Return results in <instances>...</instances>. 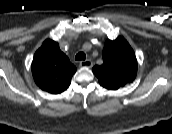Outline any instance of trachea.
<instances>
[{"label": "trachea", "mask_w": 172, "mask_h": 134, "mask_svg": "<svg viewBox=\"0 0 172 134\" xmlns=\"http://www.w3.org/2000/svg\"><path fill=\"white\" fill-rule=\"evenodd\" d=\"M86 59V54L84 52H79L76 56H75V60H85Z\"/></svg>", "instance_id": "obj_1"}]
</instances>
